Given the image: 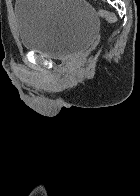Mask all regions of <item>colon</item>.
Wrapping results in <instances>:
<instances>
[{
    "label": "colon",
    "instance_id": "5ec220e1",
    "mask_svg": "<svg viewBox=\"0 0 140 196\" xmlns=\"http://www.w3.org/2000/svg\"><path fill=\"white\" fill-rule=\"evenodd\" d=\"M101 16L109 23H114L116 20L115 15L112 12L101 10Z\"/></svg>",
    "mask_w": 140,
    "mask_h": 196
}]
</instances>
